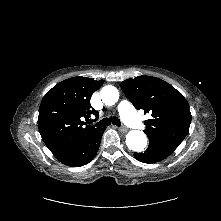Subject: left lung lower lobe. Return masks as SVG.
<instances>
[{"instance_id":"obj_1","label":"left lung lower lobe","mask_w":221,"mask_h":221,"mask_svg":"<svg viewBox=\"0 0 221 221\" xmlns=\"http://www.w3.org/2000/svg\"><path fill=\"white\" fill-rule=\"evenodd\" d=\"M174 150L168 149L160 145H149L147 150L142 153H134V157L144 163H156L173 153Z\"/></svg>"}]
</instances>
